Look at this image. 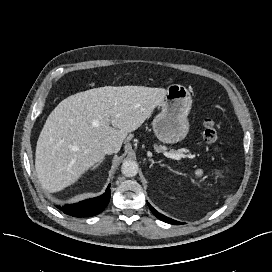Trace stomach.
Instances as JSON below:
<instances>
[{
  "label": "stomach",
  "instance_id": "stomach-1",
  "mask_svg": "<svg viewBox=\"0 0 272 272\" xmlns=\"http://www.w3.org/2000/svg\"><path fill=\"white\" fill-rule=\"evenodd\" d=\"M192 106L189 90L180 84H171L159 104L161 112L152 122L159 141L172 144L183 140L189 131L188 114Z\"/></svg>",
  "mask_w": 272,
  "mask_h": 272
}]
</instances>
